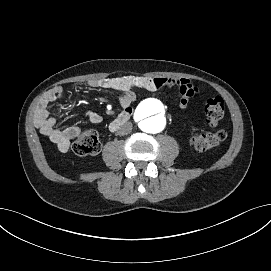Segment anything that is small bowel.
I'll return each instance as SVG.
<instances>
[{"mask_svg": "<svg viewBox=\"0 0 271 271\" xmlns=\"http://www.w3.org/2000/svg\"><path fill=\"white\" fill-rule=\"evenodd\" d=\"M87 86L91 88L110 89L119 94V102L126 110H131V104L136 98L135 90L143 89L155 92L159 89H177L180 95L178 101L180 108H186L199 89L190 80L185 78H148V77H109L103 79L89 80ZM64 98V90L57 86L46 91L37 103L34 113V124L36 128L46 136L58 149L66 151L70 142L79 136L81 130L77 126L58 128L56 126V115L61 113V109L50 110L49 106L54 102H59ZM85 117L93 124L102 121L100 114L94 111H86Z\"/></svg>", "mask_w": 271, "mask_h": 271, "instance_id": "obj_1", "label": "small bowel"}]
</instances>
